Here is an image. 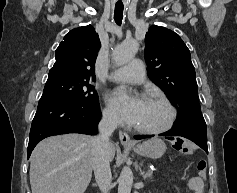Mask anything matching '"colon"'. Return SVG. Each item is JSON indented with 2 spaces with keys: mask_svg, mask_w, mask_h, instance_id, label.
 <instances>
[{
  "mask_svg": "<svg viewBox=\"0 0 237 193\" xmlns=\"http://www.w3.org/2000/svg\"><path fill=\"white\" fill-rule=\"evenodd\" d=\"M170 143H171L172 147L180 153L192 154L194 151L192 142H190L182 137L171 138ZM206 168H207V164H206L205 160H199L197 162L198 175L202 180L205 178Z\"/></svg>",
  "mask_w": 237,
  "mask_h": 193,
  "instance_id": "colon-1",
  "label": "colon"
}]
</instances>
